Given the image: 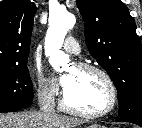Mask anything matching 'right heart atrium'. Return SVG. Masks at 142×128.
I'll return each instance as SVG.
<instances>
[{
	"label": "right heart atrium",
	"instance_id": "d8ad5b80",
	"mask_svg": "<svg viewBox=\"0 0 142 128\" xmlns=\"http://www.w3.org/2000/svg\"><path fill=\"white\" fill-rule=\"evenodd\" d=\"M36 90L38 97L46 102H52L58 91L56 81L44 74L41 68L36 70Z\"/></svg>",
	"mask_w": 142,
	"mask_h": 128
}]
</instances>
